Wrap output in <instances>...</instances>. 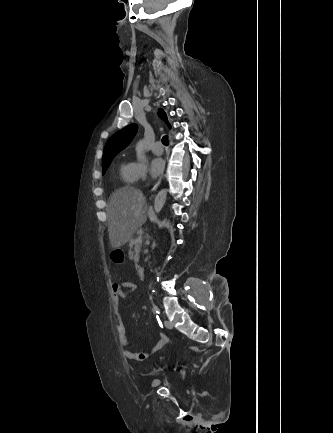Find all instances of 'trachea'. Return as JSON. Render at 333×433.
I'll return each instance as SVG.
<instances>
[{"mask_svg": "<svg viewBox=\"0 0 333 433\" xmlns=\"http://www.w3.org/2000/svg\"><path fill=\"white\" fill-rule=\"evenodd\" d=\"M162 143H163L165 146H168V145H169L168 136H163V138H162Z\"/></svg>", "mask_w": 333, "mask_h": 433, "instance_id": "obj_1", "label": "trachea"}]
</instances>
